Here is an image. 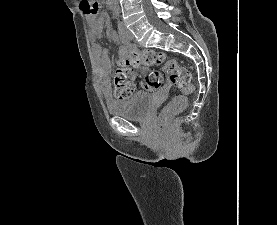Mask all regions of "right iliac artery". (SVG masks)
I'll list each match as a JSON object with an SVG mask.
<instances>
[{
    "mask_svg": "<svg viewBox=\"0 0 277 225\" xmlns=\"http://www.w3.org/2000/svg\"><path fill=\"white\" fill-rule=\"evenodd\" d=\"M118 34L123 43H129V38L124 34L120 25L118 26Z\"/></svg>",
    "mask_w": 277,
    "mask_h": 225,
    "instance_id": "1",
    "label": "right iliac artery"
}]
</instances>
